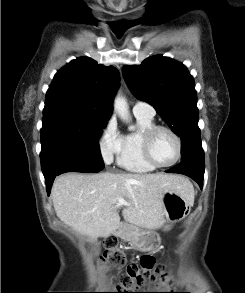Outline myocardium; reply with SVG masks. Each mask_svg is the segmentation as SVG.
Returning <instances> with one entry per match:
<instances>
[{
    "mask_svg": "<svg viewBox=\"0 0 245 293\" xmlns=\"http://www.w3.org/2000/svg\"><path fill=\"white\" fill-rule=\"evenodd\" d=\"M161 130L168 132L173 137V139L176 143V146H177V154H176L175 158L171 162L166 163V164L158 163L153 158L152 152H151L153 138H154L155 134ZM141 149H142V153H143L145 160L149 164H151L155 168H167V167L173 166L174 164H176L179 161V159L181 157V153H182V141H181L180 136L172 128L165 126V125H154L153 127L147 129L146 131H144L142 133Z\"/></svg>",
    "mask_w": 245,
    "mask_h": 293,
    "instance_id": "f54148a6",
    "label": "myocardium"
}]
</instances>
